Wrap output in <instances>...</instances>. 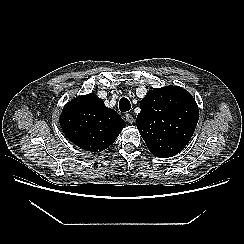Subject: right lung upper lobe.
<instances>
[{
    "instance_id": "1",
    "label": "right lung upper lobe",
    "mask_w": 244,
    "mask_h": 244,
    "mask_svg": "<svg viewBox=\"0 0 244 244\" xmlns=\"http://www.w3.org/2000/svg\"><path fill=\"white\" fill-rule=\"evenodd\" d=\"M60 125L66 137L78 147L101 152L107 149L125 127V121L107 108L94 93L79 96L62 110Z\"/></svg>"
}]
</instances>
